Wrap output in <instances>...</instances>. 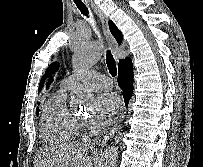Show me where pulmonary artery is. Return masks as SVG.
<instances>
[{"mask_svg": "<svg viewBox=\"0 0 203 167\" xmlns=\"http://www.w3.org/2000/svg\"><path fill=\"white\" fill-rule=\"evenodd\" d=\"M76 81H82L92 90L109 89L112 86L110 79L94 70H86L78 75L70 74L62 81V85L70 87Z\"/></svg>", "mask_w": 203, "mask_h": 167, "instance_id": "obj_1", "label": "pulmonary artery"}]
</instances>
